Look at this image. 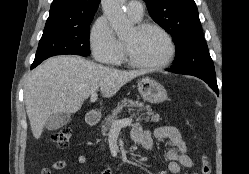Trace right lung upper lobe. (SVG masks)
Wrapping results in <instances>:
<instances>
[{
  "mask_svg": "<svg viewBox=\"0 0 249 174\" xmlns=\"http://www.w3.org/2000/svg\"><path fill=\"white\" fill-rule=\"evenodd\" d=\"M100 0H54L44 31L84 23L94 18Z\"/></svg>",
  "mask_w": 249,
  "mask_h": 174,
  "instance_id": "right-lung-upper-lobe-1",
  "label": "right lung upper lobe"
}]
</instances>
